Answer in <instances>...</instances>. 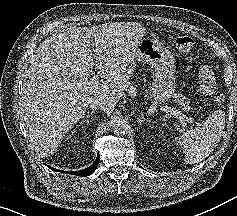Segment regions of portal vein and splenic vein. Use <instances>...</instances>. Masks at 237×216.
Here are the masks:
<instances>
[{
    "label": "portal vein and splenic vein",
    "mask_w": 237,
    "mask_h": 216,
    "mask_svg": "<svg viewBox=\"0 0 237 216\" xmlns=\"http://www.w3.org/2000/svg\"><path fill=\"white\" fill-rule=\"evenodd\" d=\"M99 80V78L96 76V75H93L92 76V79L90 80V81H92V82H95V81H98ZM183 117H180L179 118V122L181 123V124H183L182 126H184V124H185V121L187 120V116H184V115H182Z\"/></svg>",
    "instance_id": "obj_1"
}]
</instances>
